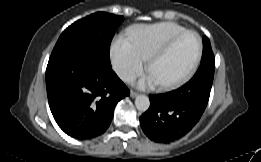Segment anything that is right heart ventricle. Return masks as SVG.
<instances>
[{"instance_id": "1", "label": "right heart ventricle", "mask_w": 261, "mask_h": 162, "mask_svg": "<svg viewBox=\"0 0 261 162\" xmlns=\"http://www.w3.org/2000/svg\"><path fill=\"white\" fill-rule=\"evenodd\" d=\"M183 30V26L174 22L136 25L129 29L128 39L136 52L147 59L168 38Z\"/></svg>"}]
</instances>
